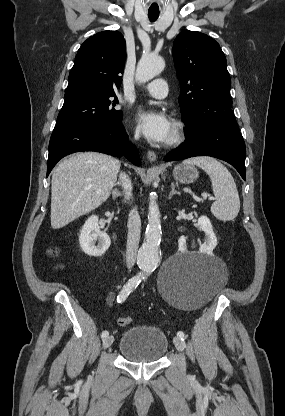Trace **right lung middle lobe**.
Returning <instances> with one entry per match:
<instances>
[{"mask_svg": "<svg viewBox=\"0 0 285 416\" xmlns=\"http://www.w3.org/2000/svg\"><path fill=\"white\" fill-rule=\"evenodd\" d=\"M117 103L118 99L116 96H65V101L58 115L56 125H119L122 122L123 114L120 110L114 108Z\"/></svg>", "mask_w": 285, "mask_h": 416, "instance_id": "obj_1", "label": "right lung middle lobe"}]
</instances>
